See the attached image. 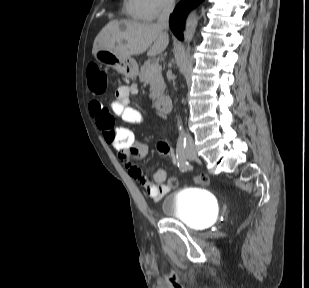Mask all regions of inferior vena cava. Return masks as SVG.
Listing matches in <instances>:
<instances>
[{
	"label": "inferior vena cava",
	"instance_id": "obj_1",
	"mask_svg": "<svg viewBox=\"0 0 309 288\" xmlns=\"http://www.w3.org/2000/svg\"><path fill=\"white\" fill-rule=\"evenodd\" d=\"M174 7H175L174 0H166L163 10L161 14L159 15L158 21H157V25L161 27L162 29L168 30L169 17H170V14L173 12ZM186 137H187V144H192L193 143L192 137L188 134L186 135Z\"/></svg>",
	"mask_w": 309,
	"mask_h": 288
}]
</instances>
